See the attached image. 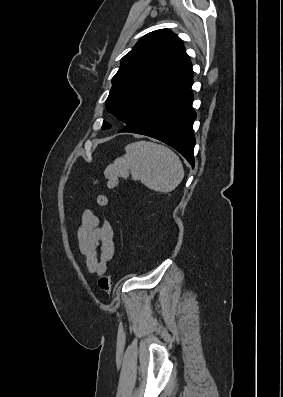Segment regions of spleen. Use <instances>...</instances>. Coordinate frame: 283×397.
<instances>
[{
	"label": "spleen",
	"mask_w": 283,
	"mask_h": 397,
	"mask_svg": "<svg viewBox=\"0 0 283 397\" xmlns=\"http://www.w3.org/2000/svg\"><path fill=\"white\" fill-rule=\"evenodd\" d=\"M125 154L107 166L104 176L108 186L118 185V178L140 181L156 192L173 191L184 177V169L179 157L168 147L161 144L138 141L125 147Z\"/></svg>",
	"instance_id": "obj_1"
}]
</instances>
